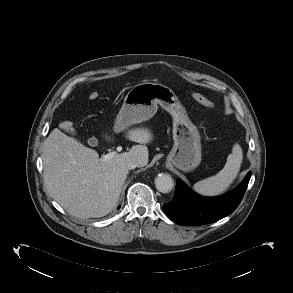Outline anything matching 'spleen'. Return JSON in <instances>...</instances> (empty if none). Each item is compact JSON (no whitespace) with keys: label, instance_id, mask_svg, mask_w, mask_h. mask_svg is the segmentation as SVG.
<instances>
[{"label":"spleen","instance_id":"obj_1","mask_svg":"<svg viewBox=\"0 0 293 293\" xmlns=\"http://www.w3.org/2000/svg\"><path fill=\"white\" fill-rule=\"evenodd\" d=\"M242 160V148L239 144H235L224 168L218 174L195 183L194 191L204 196H217L224 193L236 179Z\"/></svg>","mask_w":293,"mask_h":293}]
</instances>
